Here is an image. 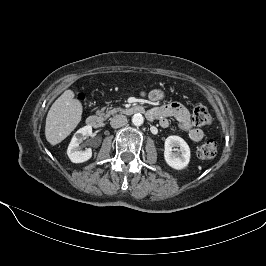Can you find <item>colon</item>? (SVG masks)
<instances>
[{
    "mask_svg": "<svg viewBox=\"0 0 266 266\" xmlns=\"http://www.w3.org/2000/svg\"><path fill=\"white\" fill-rule=\"evenodd\" d=\"M211 115L204 105H197L193 110L192 122L196 126H206L211 123ZM217 154V143L213 139L205 141L198 148V156L204 160L213 159Z\"/></svg>",
    "mask_w": 266,
    "mask_h": 266,
    "instance_id": "obj_1",
    "label": "colon"
}]
</instances>
